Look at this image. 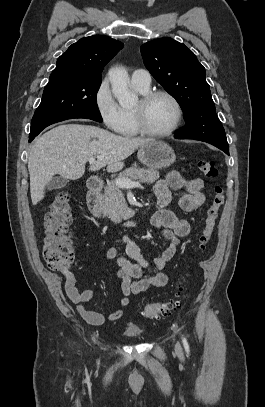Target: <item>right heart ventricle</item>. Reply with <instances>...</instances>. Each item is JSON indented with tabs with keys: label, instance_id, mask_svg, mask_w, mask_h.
<instances>
[{
	"label": "right heart ventricle",
	"instance_id": "e07e8e85",
	"mask_svg": "<svg viewBox=\"0 0 265 407\" xmlns=\"http://www.w3.org/2000/svg\"><path fill=\"white\" fill-rule=\"evenodd\" d=\"M135 90L141 94H145L148 89H142L139 87L134 86ZM122 112V122L117 130V132L127 138L135 137L139 133L137 132L135 125H134V118H133V110L128 108H121Z\"/></svg>",
	"mask_w": 265,
	"mask_h": 407
}]
</instances>
